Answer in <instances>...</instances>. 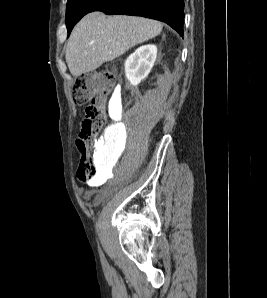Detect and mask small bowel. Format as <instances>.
<instances>
[{
    "label": "small bowel",
    "instance_id": "c3829d8e",
    "mask_svg": "<svg viewBox=\"0 0 267 298\" xmlns=\"http://www.w3.org/2000/svg\"><path fill=\"white\" fill-rule=\"evenodd\" d=\"M111 140H112V135H111V134H107V135L105 136V138H104V142H103V144H104L105 146H107L108 143H109ZM94 194H95V193H94L92 190H88V191H86V192L84 193V197H85V199L89 200V199H91V198L94 196Z\"/></svg>",
    "mask_w": 267,
    "mask_h": 298
}]
</instances>
